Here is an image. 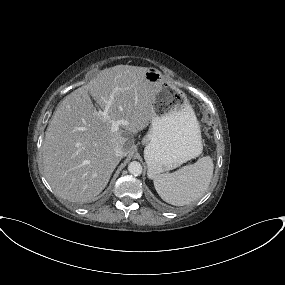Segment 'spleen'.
<instances>
[{"instance_id":"3e777b00","label":"spleen","mask_w":285,"mask_h":285,"mask_svg":"<svg viewBox=\"0 0 285 285\" xmlns=\"http://www.w3.org/2000/svg\"><path fill=\"white\" fill-rule=\"evenodd\" d=\"M214 164L209 156L184 166L173 173L159 174L153 178L159 196L167 203L184 206L199 200L207 191L213 176Z\"/></svg>"}]
</instances>
